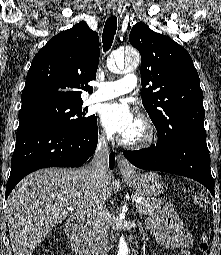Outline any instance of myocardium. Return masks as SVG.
Instances as JSON below:
<instances>
[{"instance_id":"1","label":"myocardium","mask_w":221,"mask_h":255,"mask_svg":"<svg viewBox=\"0 0 221 255\" xmlns=\"http://www.w3.org/2000/svg\"><path fill=\"white\" fill-rule=\"evenodd\" d=\"M137 123L141 126L142 134L137 139H128L124 136L119 138V143L126 148L140 150L152 146L157 139V131L152 120L145 114H138Z\"/></svg>"}]
</instances>
